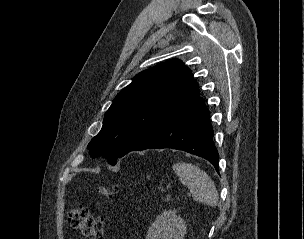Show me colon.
<instances>
[{
	"label": "colon",
	"instance_id": "5ec220e1",
	"mask_svg": "<svg viewBox=\"0 0 304 239\" xmlns=\"http://www.w3.org/2000/svg\"><path fill=\"white\" fill-rule=\"evenodd\" d=\"M118 190L116 184L101 187L99 192L103 203H107ZM71 227L77 230L82 236L90 239H103L107 227V220L104 216L94 218L86 206L80 205L68 214Z\"/></svg>",
	"mask_w": 304,
	"mask_h": 239
}]
</instances>
